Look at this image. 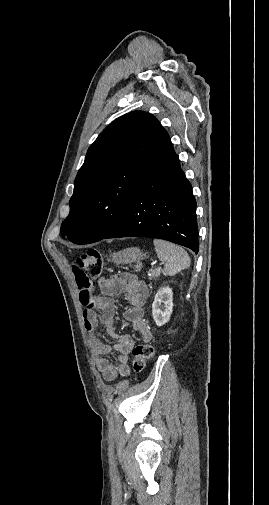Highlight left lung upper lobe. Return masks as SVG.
<instances>
[{"label":"left lung upper lobe","mask_w":269,"mask_h":505,"mask_svg":"<svg viewBox=\"0 0 269 505\" xmlns=\"http://www.w3.org/2000/svg\"><path fill=\"white\" fill-rule=\"evenodd\" d=\"M162 126L133 111L110 123L89 147L74 181L61 235L76 244L102 240L117 225Z\"/></svg>","instance_id":"1"}]
</instances>
